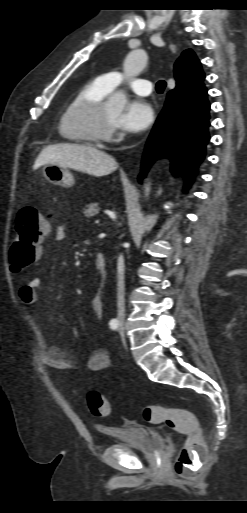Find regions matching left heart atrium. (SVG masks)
Returning <instances> with one entry per match:
<instances>
[{
    "mask_svg": "<svg viewBox=\"0 0 247 513\" xmlns=\"http://www.w3.org/2000/svg\"><path fill=\"white\" fill-rule=\"evenodd\" d=\"M154 116V111L147 102L134 99L127 103L114 125L128 131H142L153 123Z\"/></svg>",
    "mask_w": 247,
    "mask_h": 513,
    "instance_id": "obj_1",
    "label": "left heart atrium"
}]
</instances>
